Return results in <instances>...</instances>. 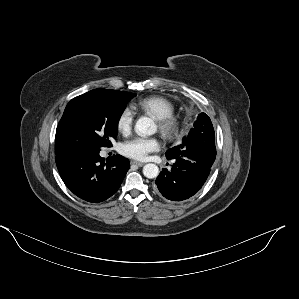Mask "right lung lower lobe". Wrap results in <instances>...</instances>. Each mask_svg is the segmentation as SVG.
<instances>
[{"label": "right lung lower lobe", "instance_id": "98d812e1", "mask_svg": "<svg viewBox=\"0 0 299 299\" xmlns=\"http://www.w3.org/2000/svg\"><path fill=\"white\" fill-rule=\"evenodd\" d=\"M100 150H79L57 155L56 165L65 185L78 197L88 202H101L120 187L129 161L114 155L106 161Z\"/></svg>", "mask_w": 299, "mask_h": 299}]
</instances>
